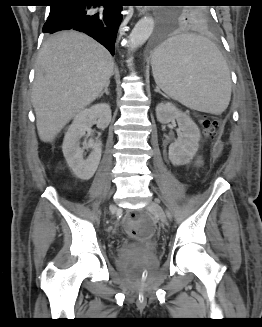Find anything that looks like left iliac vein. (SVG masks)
Listing matches in <instances>:
<instances>
[{
	"label": "left iliac vein",
	"mask_w": 262,
	"mask_h": 327,
	"mask_svg": "<svg viewBox=\"0 0 262 327\" xmlns=\"http://www.w3.org/2000/svg\"><path fill=\"white\" fill-rule=\"evenodd\" d=\"M148 210L155 213L162 223H164V224L167 223L166 214H165L163 208L157 202L150 201L148 204Z\"/></svg>",
	"instance_id": "obj_1"
}]
</instances>
